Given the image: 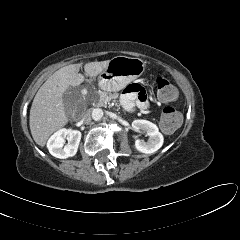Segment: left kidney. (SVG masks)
<instances>
[{
  "instance_id": "left-kidney-1",
  "label": "left kidney",
  "mask_w": 240,
  "mask_h": 240,
  "mask_svg": "<svg viewBox=\"0 0 240 240\" xmlns=\"http://www.w3.org/2000/svg\"><path fill=\"white\" fill-rule=\"evenodd\" d=\"M132 128L137 132L142 130L149 136L147 142L139 139L135 141L134 147L139 152L151 154L162 147L164 138L154 123L147 120L138 119L132 122Z\"/></svg>"
}]
</instances>
